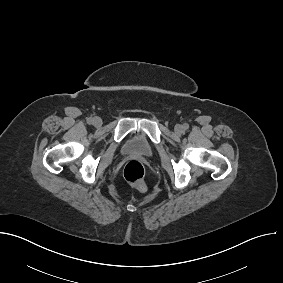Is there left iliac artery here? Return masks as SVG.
<instances>
[{"label":"left iliac artery","mask_w":283,"mask_h":283,"mask_svg":"<svg viewBox=\"0 0 283 283\" xmlns=\"http://www.w3.org/2000/svg\"><path fill=\"white\" fill-rule=\"evenodd\" d=\"M188 127H189L188 124H184V125H183V128H184L185 130L188 129Z\"/></svg>","instance_id":"left-iliac-artery-1"}]
</instances>
